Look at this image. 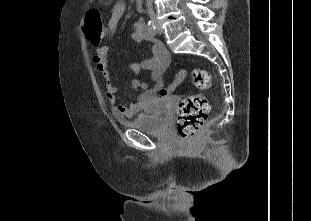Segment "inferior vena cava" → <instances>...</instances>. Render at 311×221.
I'll list each match as a JSON object with an SVG mask.
<instances>
[{"instance_id": "602c4592", "label": "inferior vena cava", "mask_w": 311, "mask_h": 221, "mask_svg": "<svg viewBox=\"0 0 311 221\" xmlns=\"http://www.w3.org/2000/svg\"><path fill=\"white\" fill-rule=\"evenodd\" d=\"M147 12L150 16H154L153 0H146Z\"/></svg>"}]
</instances>
